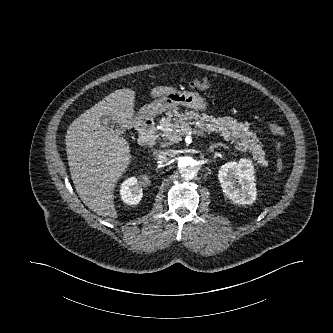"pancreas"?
<instances>
[{"label":"pancreas","mask_w":333,"mask_h":333,"mask_svg":"<svg viewBox=\"0 0 333 333\" xmlns=\"http://www.w3.org/2000/svg\"><path fill=\"white\" fill-rule=\"evenodd\" d=\"M167 118H162L160 125L162 127L163 137L171 143H178L183 136L192 132L188 121L195 120L196 127L202 131L218 132L226 140L236 142L235 148L240 151H248L252 154L253 160L258 163L263 162L264 152L256 134L249 131V126L238 122L231 117L213 118L206 114L199 115L195 112L176 113L174 118L172 113L168 112Z\"/></svg>","instance_id":"pancreas-1"}]
</instances>
